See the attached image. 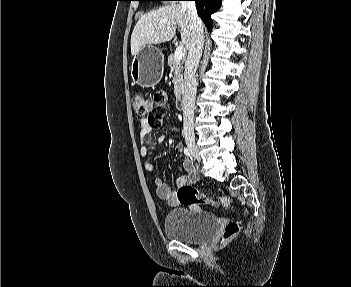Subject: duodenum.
Returning a JSON list of instances; mask_svg holds the SVG:
<instances>
[{"mask_svg": "<svg viewBox=\"0 0 351 287\" xmlns=\"http://www.w3.org/2000/svg\"><path fill=\"white\" fill-rule=\"evenodd\" d=\"M176 106L180 110H183L186 107V99L183 91L176 94Z\"/></svg>", "mask_w": 351, "mask_h": 287, "instance_id": "410a0bca", "label": "duodenum"}]
</instances>
